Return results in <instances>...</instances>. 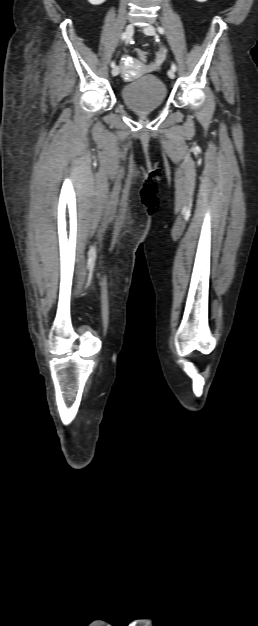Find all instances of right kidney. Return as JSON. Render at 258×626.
Listing matches in <instances>:
<instances>
[{
  "mask_svg": "<svg viewBox=\"0 0 258 626\" xmlns=\"http://www.w3.org/2000/svg\"><path fill=\"white\" fill-rule=\"evenodd\" d=\"M93 5H99L105 2L106 0H88Z\"/></svg>",
  "mask_w": 258,
  "mask_h": 626,
  "instance_id": "ca27d5eb",
  "label": "right kidney"
}]
</instances>
